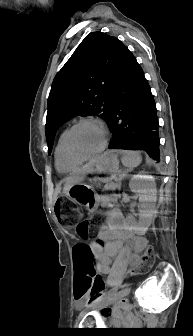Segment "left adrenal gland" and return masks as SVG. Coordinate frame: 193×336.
<instances>
[{
  "mask_svg": "<svg viewBox=\"0 0 193 336\" xmlns=\"http://www.w3.org/2000/svg\"><path fill=\"white\" fill-rule=\"evenodd\" d=\"M126 176L125 173H123L119 178H120V183H121V180Z\"/></svg>",
  "mask_w": 193,
  "mask_h": 336,
  "instance_id": "left-adrenal-gland-1",
  "label": "left adrenal gland"
}]
</instances>
